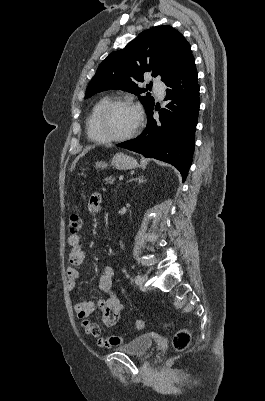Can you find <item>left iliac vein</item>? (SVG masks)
Returning a JSON list of instances; mask_svg holds the SVG:
<instances>
[{"label":"left iliac vein","instance_id":"4c4485c4","mask_svg":"<svg viewBox=\"0 0 265 401\" xmlns=\"http://www.w3.org/2000/svg\"><path fill=\"white\" fill-rule=\"evenodd\" d=\"M147 275H141L140 276V286L144 289L145 288V286H144V282L147 280Z\"/></svg>","mask_w":265,"mask_h":401}]
</instances>
